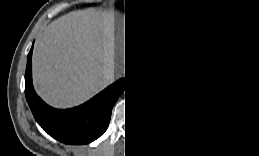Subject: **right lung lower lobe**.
Instances as JSON below:
<instances>
[{"label":"right lung lower lobe","instance_id":"obj_1","mask_svg":"<svg viewBox=\"0 0 259 156\" xmlns=\"http://www.w3.org/2000/svg\"><path fill=\"white\" fill-rule=\"evenodd\" d=\"M32 50L33 46L27 57L25 95L38 124L53 138L66 144H87L96 140L107 129L115 102L135 80L126 74L125 78L81 106L57 110L44 103L35 93L32 84Z\"/></svg>","mask_w":259,"mask_h":156}]
</instances>
